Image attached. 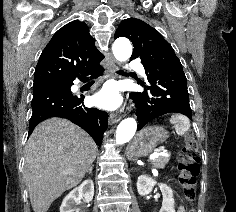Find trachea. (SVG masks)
Here are the masks:
<instances>
[{"mask_svg":"<svg viewBox=\"0 0 236 212\" xmlns=\"http://www.w3.org/2000/svg\"><path fill=\"white\" fill-rule=\"evenodd\" d=\"M121 72H123V70H119V71H118V73H121Z\"/></svg>","mask_w":236,"mask_h":212,"instance_id":"trachea-1","label":"trachea"}]
</instances>
